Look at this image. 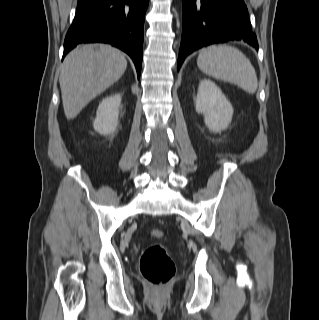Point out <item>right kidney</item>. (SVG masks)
Returning a JSON list of instances; mask_svg holds the SVG:
<instances>
[{
	"instance_id": "ca27d5eb",
	"label": "right kidney",
	"mask_w": 319,
	"mask_h": 320,
	"mask_svg": "<svg viewBox=\"0 0 319 320\" xmlns=\"http://www.w3.org/2000/svg\"><path fill=\"white\" fill-rule=\"evenodd\" d=\"M120 105V94L108 96L101 101L93 123L95 131L101 135H109L115 132L118 125Z\"/></svg>"
}]
</instances>
